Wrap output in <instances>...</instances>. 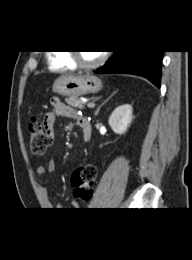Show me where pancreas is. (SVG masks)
<instances>
[{
  "label": "pancreas",
  "mask_w": 192,
  "mask_h": 260,
  "mask_svg": "<svg viewBox=\"0 0 192 260\" xmlns=\"http://www.w3.org/2000/svg\"><path fill=\"white\" fill-rule=\"evenodd\" d=\"M66 103L74 108L83 109L85 102L78 98H67L65 99Z\"/></svg>",
  "instance_id": "pancreas-1"
}]
</instances>
